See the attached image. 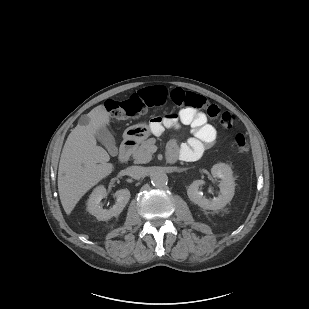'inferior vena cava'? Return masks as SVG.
<instances>
[{"label":"inferior vena cava","instance_id":"obj_1","mask_svg":"<svg viewBox=\"0 0 309 309\" xmlns=\"http://www.w3.org/2000/svg\"><path fill=\"white\" fill-rule=\"evenodd\" d=\"M127 175L131 176L134 179H140L144 173L145 169L141 166H130L126 169Z\"/></svg>","mask_w":309,"mask_h":309}]
</instances>
